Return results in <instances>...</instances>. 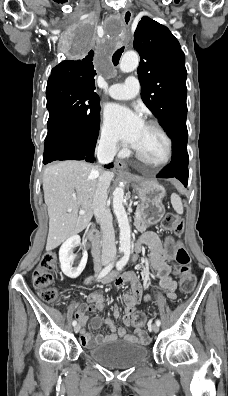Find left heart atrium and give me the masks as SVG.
<instances>
[{
	"mask_svg": "<svg viewBox=\"0 0 228 396\" xmlns=\"http://www.w3.org/2000/svg\"><path fill=\"white\" fill-rule=\"evenodd\" d=\"M110 133L116 138L135 147L145 124L142 117L123 105H110L104 114Z\"/></svg>",
	"mask_w": 228,
	"mask_h": 396,
	"instance_id": "left-heart-atrium-1",
	"label": "left heart atrium"
}]
</instances>
